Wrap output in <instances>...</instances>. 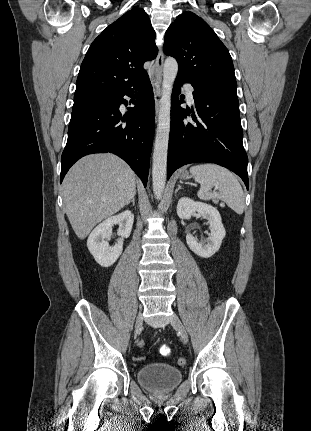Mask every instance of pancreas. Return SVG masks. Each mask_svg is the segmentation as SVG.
<instances>
[{"label":"pancreas","mask_w":311,"mask_h":431,"mask_svg":"<svg viewBox=\"0 0 311 431\" xmlns=\"http://www.w3.org/2000/svg\"><path fill=\"white\" fill-rule=\"evenodd\" d=\"M213 204H219V200H212Z\"/></svg>","instance_id":"1"}]
</instances>
